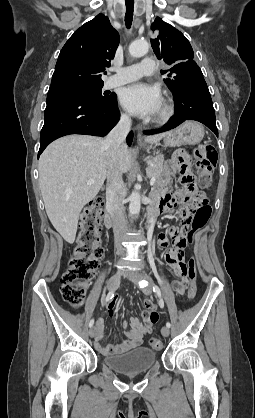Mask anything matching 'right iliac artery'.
Listing matches in <instances>:
<instances>
[{
  "mask_svg": "<svg viewBox=\"0 0 255 418\" xmlns=\"http://www.w3.org/2000/svg\"><path fill=\"white\" fill-rule=\"evenodd\" d=\"M113 297H114V291L112 290V291H110V292L107 294V296H106V298H105L104 302H105V303H106V302H108V301H109V300H111ZM93 324H94V319H91V320H90V322H89V327H92V326H93Z\"/></svg>",
  "mask_w": 255,
  "mask_h": 418,
  "instance_id": "obj_1",
  "label": "right iliac artery"
}]
</instances>
